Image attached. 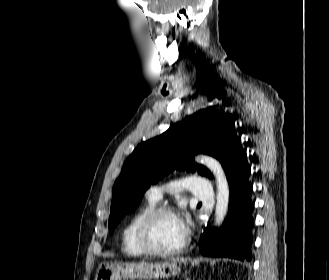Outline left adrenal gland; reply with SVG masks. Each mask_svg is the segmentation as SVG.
Returning <instances> with one entry per match:
<instances>
[{"label":"left adrenal gland","instance_id":"1","mask_svg":"<svg viewBox=\"0 0 329 280\" xmlns=\"http://www.w3.org/2000/svg\"><path fill=\"white\" fill-rule=\"evenodd\" d=\"M185 280H190V278L185 277Z\"/></svg>","mask_w":329,"mask_h":280}]
</instances>
